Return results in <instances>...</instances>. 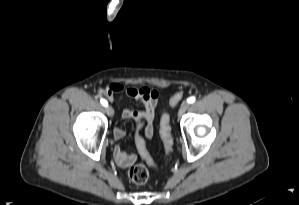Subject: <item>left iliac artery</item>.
<instances>
[{"label":"left iliac artery","mask_w":299,"mask_h":205,"mask_svg":"<svg viewBox=\"0 0 299 205\" xmlns=\"http://www.w3.org/2000/svg\"><path fill=\"white\" fill-rule=\"evenodd\" d=\"M195 97H193V96H191V97H189L188 99H187V102L189 103V104H192V103H194L195 102Z\"/></svg>","instance_id":"obj_1"}]
</instances>
